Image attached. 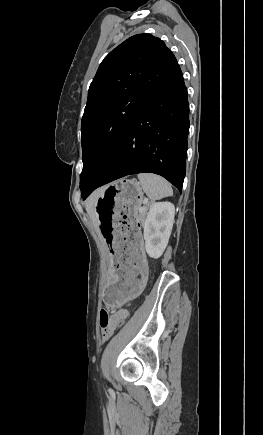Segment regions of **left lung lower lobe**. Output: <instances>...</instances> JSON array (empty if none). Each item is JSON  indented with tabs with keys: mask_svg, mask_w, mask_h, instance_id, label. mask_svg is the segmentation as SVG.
<instances>
[{
	"mask_svg": "<svg viewBox=\"0 0 263 435\" xmlns=\"http://www.w3.org/2000/svg\"><path fill=\"white\" fill-rule=\"evenodd\" d=\"M189 104L180 67L126 130L106 169L84 194L130 174L163 176L179 191L186 172Z\"/></svg>",
	"mask_w": 263,
	"mask_h": 435,
	"instance_id": "0a47b994",
	"label": "left lung lower lobe"
}]
</instances>
